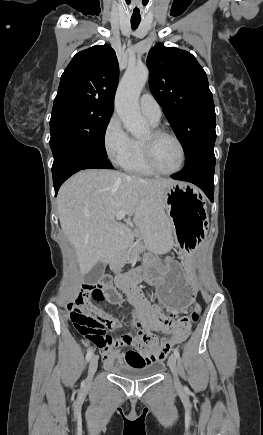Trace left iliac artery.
Here are the masks:
<instances>
[{"instance_id":"obj_1","label":"left iliac artery","mask_w":263,"mask_h":435,"mask_svg":"<svg viewBox=\"0 0 263 435\" xmlns=\"http://www.w3.org/2000/svg\"><path fill=\"white\" fill-rule=\"evenodd\" d=\"M174 355L176 356V358L179 359L180 354H179V351L177 349H174Z\"/></svg>"}]
</instances>
